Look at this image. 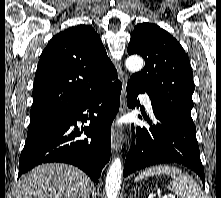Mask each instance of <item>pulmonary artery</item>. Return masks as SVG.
I'll list each match as a JSON object with an SVG mask.
<instances>
[{
    "label": "pulmonary artery",
    "mask_w": 221,
    "mask_h": 198,
    "mask_svg": "<svg viewBox=\"0 0 221 198\" xmlns=\"http://www.w3.org/2000/svg\"><path fill=\"white\" fill-rule=\"evenodd\" d=\"M140 98L143 100L147 111H148L149 113H152L153 110H152V104H151L150 98H149L147 95H144V94H141V95H140Z\"/></svg>",
    "instance_id": "1"
}]
</instances>
